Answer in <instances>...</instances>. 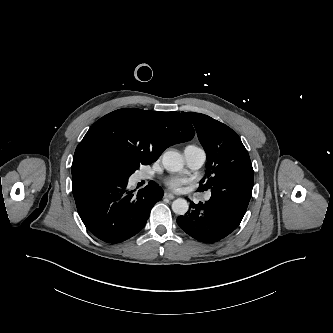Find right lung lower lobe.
<instances>
[{"instance_id": "obj_1", "label": "right lung lower lobe", "mask_w": 333, "mask_h": 333, "mask_svg": "<svg viewBox=\"0 0 333 333\" xmlns=\"http://www.w3.org/2000/svg\"><path fill=\"white\" fill-rule=\"evenodd\" d=\"M128 180L110 179L86 170L72 176V191L80 218L97 238L119 243L137 234L150 210L163 196L155 183L133 194Z\"/></svg>"}]
</instances>
